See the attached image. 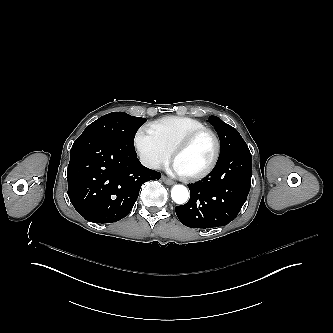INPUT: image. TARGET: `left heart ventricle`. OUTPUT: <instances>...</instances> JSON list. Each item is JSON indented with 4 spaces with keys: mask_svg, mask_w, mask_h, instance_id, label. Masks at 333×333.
Here are the masks:
<instances>
[{
    "mask_svg": "<svg viewBox=\"0 0 333 333\" xmlns=\"http://www.w3.org/2000/svg\"><path fill=\"white\" fill-rule=\"evenodd\" d=\"M214 151L213 138L210 134L204 133L176 154L171 162L175 163L184 175H190L204 168L212 159Z\"/></svg>",
    "mask_w": 333,
    "mask_h": 333,
    "instance_id": "left-heart-ventricle-1",
    "label": "left heart ventricle"
}]
</instances>
